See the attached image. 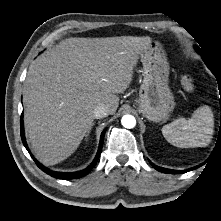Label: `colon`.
<instances>
[{"instance_id":"colon-1","label":"colon","mask_w":221,"mask_h":221,"mask_svg":"<svg viewBox=\"0 0 221 221\" xmlns=\"http://www.w3.org/2000/svg\"><path fill=\"white\" fill-rule=\"evenodd\" d=\"M181 85L187 92H193L195 89L193 79L188 75H185L181 78Z\"/></svg>"}]
</instances>
